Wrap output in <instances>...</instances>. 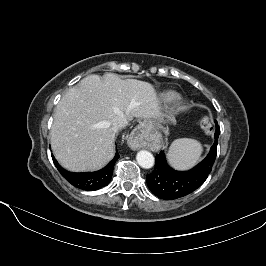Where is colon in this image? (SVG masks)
Listing matches in <instances>:
<instances>
[{
    "label": "colon",
    "instance_id": "1",
    "mask_svg": "<svg viewBox=\"0 0 266 266\" xmlns=\"http://www.w3.org/2000/svg\"><path fill=\"white\" fill-rule=\"evenodd\" d=\"M200 128L202 129V131L206 134L211 133L212 131V125L210 120L207 117H204L200 120Z\"/></svg>",
    "mask_w": 266,
    "mask_h": 266
}]
</instances>
